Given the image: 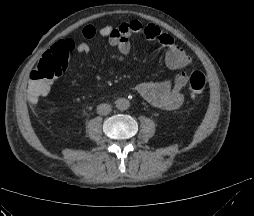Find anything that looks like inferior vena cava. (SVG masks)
Returning <instances> with one entry per match:
<instances>
[{"mask_svg": "<svg viewBox=\"0 0 254 216\" xmlns=\"http://www.w3.org/2000/svg\"><path fill=\"white\" fill-rule=\"evenodd\" d=\"M111 112V105L102 103L97 106V113L100 115H107Z\"/></svg>", "mask_w": 254, "mask_h": 216, "instance_id": "inferior-vena-cava-1", "label": "inferior vena cava"}]
</instances>
